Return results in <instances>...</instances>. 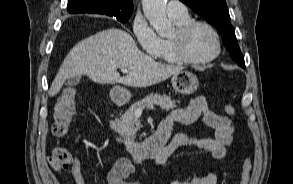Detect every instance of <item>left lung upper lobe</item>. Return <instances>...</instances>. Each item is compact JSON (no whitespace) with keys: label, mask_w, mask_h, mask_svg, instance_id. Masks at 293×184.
<instances>
[{"label":"left lung upper lobe","mask_w":293,"mask_h":184,"mask_svg":"<svg viewBox=\"0 0 293 184\" xmlns=\"http://www.w3.org/2000/svg\"><path fill=\"white\" fill-rule=\"evenodd\" d=\"M216 27L232 59L245 65L225 0H180Z\"/></svg>","instance_id":"5c2ea615"}]
</instances>
